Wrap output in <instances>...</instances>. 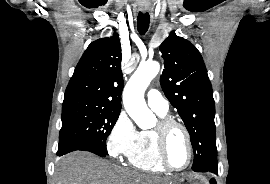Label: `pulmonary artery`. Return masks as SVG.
<instances>
[{"instance_id":"obj_1","label":"pulmonary artery","mask_w":270,"mask_h":184,"mask_svg":"<svg viewBox=\"0 0 270 184\" xmlns=\"http://www.w3.org/2000/svg\"><path fill=\"white\" fill-rule=\"evenodd\" d=\"M147 102L150 108H152L157 113H167L169 110L168 101L161 95V93L156 89H151L147 92Z\"/></svg>"}]
</instances>
